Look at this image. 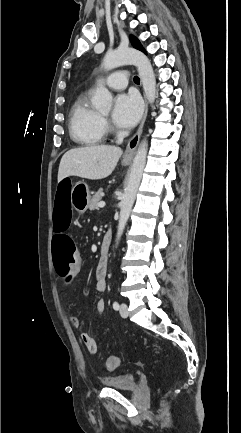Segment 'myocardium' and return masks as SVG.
I'll use <instances>...</instances> for the list:
<instances>
[{
    "label": "myocardium",
    "mask_w": 241,
    "mask_h": 433,
    "mask_svg": "<svg viewBox=\"0 0 241 433\" xmlns=\"http://www.w3.org/2000/svg\"><path fill=\"white\" fill-rule=\"evenodd\" d=\"M102 119L106 121V118H105V117H103Z\"/></svg>",
    "instance_id": "f54148a6"
}]
</instances>
